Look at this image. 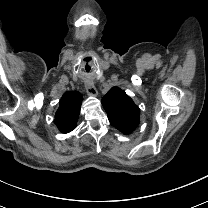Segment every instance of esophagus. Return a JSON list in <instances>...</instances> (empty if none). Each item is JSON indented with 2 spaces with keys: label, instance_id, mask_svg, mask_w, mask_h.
<instances>
[{
  "label": "esophagus",
  "instance_id": "1",
  "mask_svg": "<svg viewBox=\"0 0 208 208\" xmlns=\"http://www.w3.org/2000/svg\"><path fill=\"white\" fill-rule=\"evenodd\" d=\"M85 88H86L88 95L94 96V97L97 96L98 92L92 81H87L85 83Z\"/></svg>",
  "mask_w": 208,
  "mask_h": 208
}]
</instances>
